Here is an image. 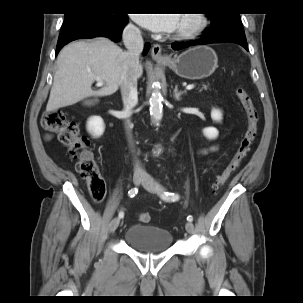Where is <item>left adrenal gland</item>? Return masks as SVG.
Masks as SVG:
<instances>
[{"instance_id":"left-adrenal-gland-1","label":"left adrenal gland","mask_w":303,"mask_h":303,"mask_svg":"<svg viewBox=\"0 0 303 303\" xmlns=\"http://www.w3.org/2000/svg\"><path fill=\"white\" fill-rule=\"evenodd\" d=\"M184 94H186V91L179 92L178 87L176 85L174 88V91H173V96H174L175 100L179 101L181 99V96Z\"/></svg>"}]
</instances>
